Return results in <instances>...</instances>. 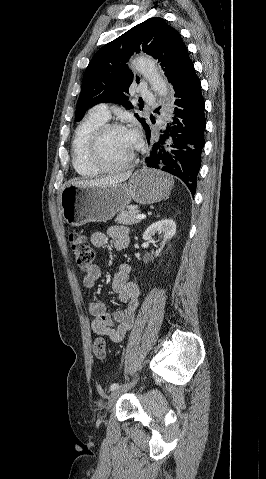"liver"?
<instances>
[{
	"mask_svg": "<svg viewBox=\"0 0 266 479\" xmlns=\"http://www.w3.org/2000/svg\"><path fill=\"white\" fill-rule=\"evenodd\" d=\"M131 175V172L123 173L120 175H115L111 177H105L101 179H93V180H79L73 181L71 184L75 186H106V185H113L122 183L123 181L127 180Z\"/></svg>",
	"mask_w": 266,
	"mask_h": 479,
	"instance_id": "obj_1",
	"label": "liver"
}]
</instances>
